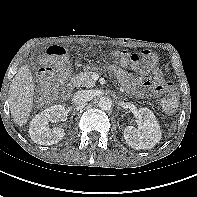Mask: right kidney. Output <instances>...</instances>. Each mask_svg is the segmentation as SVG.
Segmentation results:
<instances>
[{"mask_svg": "<svg viewBox=\"0 0 197 197\" xmlns=\"http://www.w3.org/2000/svg\"><path fill=\"white\" fill-rule=\"evenodd\" d=\"M66 114L65 107L62 105L51 106L40 114H37L29 126L31 139L40 145H53L58 143L65 136L64 129L61 127L50 129L48 123L63 120Z\"/></svg>", "mask_w": 197, "mask_h": 197, "instance_id": "obj_1", "label": "right kidney"}]
</instances>
